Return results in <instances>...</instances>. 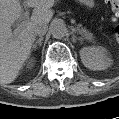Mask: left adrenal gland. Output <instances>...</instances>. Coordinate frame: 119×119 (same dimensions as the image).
Wrapping results in <instances>:
<instances>
[{
  "label": "left adrenal gland",
  "instance_id": "obj_1",
  "mask_svg": "<svg viewBox=\"0 0 119 119\" xmlns=\"http://www.w3.org/2000/svg\"><path fill=\"white\" fill-rule=\"evenodd\" d=\"M76 40H79V41H81L82 42V40H83V38H81V37H76L74 34L72 35V41L73 42H75Z\"/></svg>",
  "mask_w": 119,
  "mask_h": 119
}]
</instances>
